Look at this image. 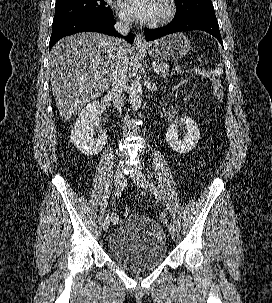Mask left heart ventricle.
I'll use <instances>...</instances> for the list:
<instances>
[{"mask_svg":"<svg viewBox=\"0 0 272 303\" xmlns=\"http://www.w3.org/2000/svg\"><path fill=\"white\" fill-rule=\"evenodd\" d=\"M164 10H165V8H164L163 3L161 2V0H158L156 15H155L154 19H157L158 17H160L164 13Z\"/></svg>","mask_w":272,"mask_h":303,"instance_id":"left-heart-ventricle-1","label":"left heart ventricle"}]
</instances>
